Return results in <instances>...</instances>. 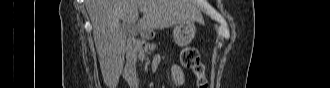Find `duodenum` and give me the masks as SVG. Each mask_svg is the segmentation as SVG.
<instances>
[{"label":"duodenum","mask_w":330,"mask_h":88,"mask_svg":"<svg viewBox=\"0 0 330 88\" xmlns=\"http://www.w3.org/2000/svg\"><path fill=\"white\" fill-rule=\"evenodd\" d=\"M148 38V34L141 33L140 38H130L126 44L127 63L124 70V76L132 87H136L138 84V77L135 70V54L141 46L143 40H147Z\"/></svg>","instance_id":"1"}]
</instances>
